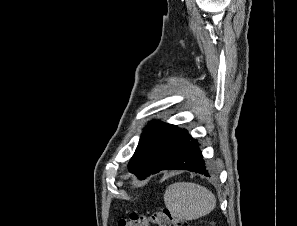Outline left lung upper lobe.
Returning a JSON list of instances; mask_svg holds the SVG:
<instances>
[{"mask_svg":"<svg viewBox=\"0 0 297 226\" xmlns=\"http://www.w3.org/2000/svg\"><path fill=\"white\" fill-rule=\"evenodd\" d=\"M179 131L176 125L150 123L141 135L128 169L140 179L150 173Z\"/></svg>","mask_w":297,"mask_h":226,"instance_id":"1","label":"left lung upper lobe"}]
</instances>
